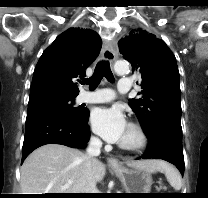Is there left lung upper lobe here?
<instances>
[{"mask_svg": "<svg viewBox=\"0 0 208 198\" xmlns=\"http://www.w3.org/2000/svg\"><path fill=\"white\" fill-rule=\"evenodd\" d=\"M118 45L124 59L141 76L136 82L143 89L141 98L130 99L129 106L147 137L163 127L182 134L180 81L174 54L163 40L142 29L132 30Z\"/></svg>", "mask_w": 208, "mask_h": 198, "instance_id": "1", "label": "left lung upper lobe"}]
</instances>
